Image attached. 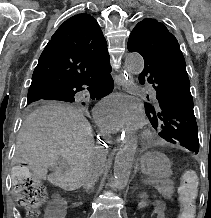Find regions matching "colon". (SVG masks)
Wrapping results in <instances>:
<instances>
[{
	"label": "colon",
	"instance_id": "1",
	"mask_svg": "<svg viewBox=\"0 0 211 218\" xmlns=\"http://www.w3.org/2000/svg\"><path fill=\"white\" fill-rule=\"evenodd\" d=\"M13 187L18 195V203L34 217L47 199L43 184L37 179L27 162L20 161L12 172ZM198 194V175L194 170H186L182 175L179 189L181 211L177 218H195V200Z\"/></svg>",
	"mask_w": 211,
	"mask_h": 218
}]
</instances>
